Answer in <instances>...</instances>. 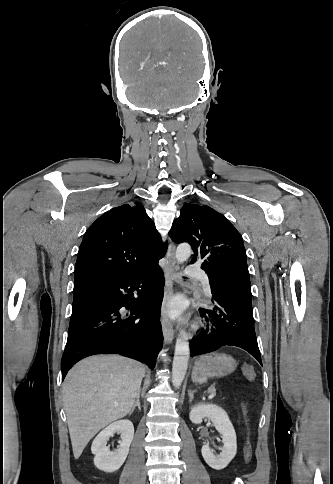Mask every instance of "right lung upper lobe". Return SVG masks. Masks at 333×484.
<instances>
[{
    "label": "right lung upper lobe",
    "mask_w": 333,
    "mask_h": 484,
    "mask_svg": "<svg viewBox=\"0 0 333 484\" xmlns=\"http://www.w3.org/2000/svg\"><path fill=\"white\" fill-rule=\"evenodd\" d=\"M166 248L143 206H118L100 216L86 231L79 247L74 282L139 275L158 264Z\"/></svg>",
    "instance_id": "cb5924a9"
}]
</instances>
